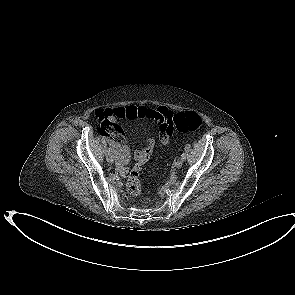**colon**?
Returning <instances> with one entry per match:
<instances>
[{"mask_svg": "<svg viewBox=\"0 0 295 295\" xmlns=\"http://www.w3.org/2000/svg\"><path fill=\"white\" fill-rule=\"evenodd\" d=\"M201 124L202 120L196 112L187 111L177 114H173L170 112L160 122L159 130L162 132H173L174 130L180 132H191L198 130ZM146 144L147 148L136 155L137 162L130 171L126 182L127 191L133 197H139L142 194V185L139 178L140 172L144 164L149 160L152 151L156 149L155 138L153 136H148L146 138Z\"/></svg>", "mask_w": 295, "mask_h": 295, "instance_id": "colon-1", "label": "colon"}]
</instances>
